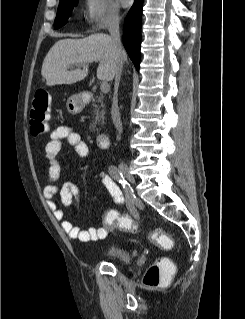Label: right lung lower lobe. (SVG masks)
Masks as SVG:
<instances>
[{
  "label": "right lung lower lobe",
  "mask_w": 245,
  "mask_h": 319,
  "mask_svg": "<svg viewBox=\"0 0 245 319\" xmlns=\"http://www.w3.org/2000/svg\"><path fill=\"white\" fill-rule=\"evenodd\" d=\"M143 0H135L125 19L123 44L136 69H139L141 15Z\"/></svg>",
  "instance_id": "right-lung-lower-lobe-1"
}]
</instances>
